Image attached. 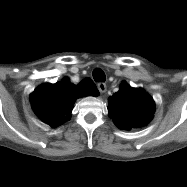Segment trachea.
<instances>
[{
	"instance_id": "3493384b",
	"label": "trachea",
	"mask_w": 187,
	"mask_h": 187,
	"mask_svg": "<svg viewBox=\"0 0 187 187\" xmlns=\"http://www.w3.org/2000/svg\"><path fill=\"white\" fill-rule=\"evenodd\" d=\"M93 78L95 81L105 82L106 76L103 70L96 68L93 70Z\"/></svg>"
}]
</instances>
